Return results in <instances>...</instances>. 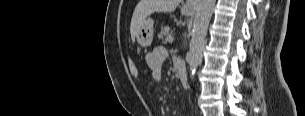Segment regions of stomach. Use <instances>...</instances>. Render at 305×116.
Returning <instances> with one entry per match:
<instances>
[{
	"mask_svg": "<svg viewBox=\"0 0 305 116\" xmlns=\"http://www.w3.org/2000/svg\"><path fill=\"white\" fill-rule=\"evenodd\" d=\"M181 12L183 15H191L192 10L185 9L184 7L181 9ZM153 26L154 21L151 18L145 19V21L142 23L140 30L136 36L137 42L142 47H148L151 45L153 40Z\"/></svg>",
	"mask_w": 305,
	"mask_h": 116,
	"instance_id": "0dacf381",
	"label": "stomach"
}]
</instances>
